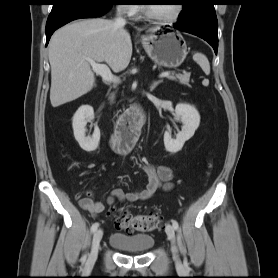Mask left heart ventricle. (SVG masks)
I'll list each match as a JSON object with an SVG mask.
<instances>
[{"label": "left heart ventricle", "mask_w": 278, "mask_h": 278, "mask_svg": "<svg viewBox=\"0 0 278 278\" xmlns=\"http://www.w3.org/2000/svg\"><path fill=\"white\" fill-rule=\"evenodd\" d=\"M152 13L159 17H171L176 11V4L150 5Z\"/></svg>", "instance_id": "b2bd125f"}]
</instances>
